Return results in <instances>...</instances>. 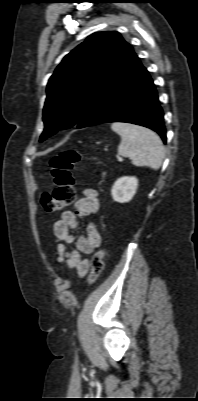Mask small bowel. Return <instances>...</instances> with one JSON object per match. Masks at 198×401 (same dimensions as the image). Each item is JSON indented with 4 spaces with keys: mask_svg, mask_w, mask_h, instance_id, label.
<instances>
[{
    "mask_svg": "<svg viewBox=\"0 0 198 401\" xmlns=\"http://www.w3.org/2000/svg\"><path fill=\"white\" fill-rule=\"evenodd\" d=\"M98 210L97 192L85 189L83 196L75 203L74 211H64L61 218L53 225L58 261L65 263L69 269L77 270L81 276H84L89 268L88 260L83 255H88L98 248L102 243V237L93 223L88 224L84 236L76 237L72 232L78 228V218L92 216Z\"/></svg>",
    "mask_w": 198,
    "mask_h": 401,
    "instance_id": "c3829d8e",
    "label": "small bowel"
}]
</instances>
